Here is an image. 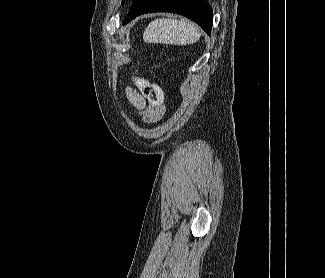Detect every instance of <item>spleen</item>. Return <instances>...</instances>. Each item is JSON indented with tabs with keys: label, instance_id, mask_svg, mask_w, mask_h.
<instances>
[{
	"label": "spleen",
	"instance_id": "3e777b00",
	"mask_svg": "<svg viewBox=\"0 0 325 278\" xmlns=\"http://www.w3.org/2000/svg\"><path fill=\"white\" fill-rule=\"evenodd\" d=\"M201 34L198 27L189 20L156 19L145 29L143 40L146 43H162L171 45H188L199 40Z\"/></svg>",
	"mask_w": 325,
	"mask_h": 278
}]
</instances>
